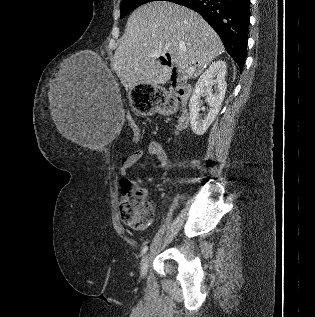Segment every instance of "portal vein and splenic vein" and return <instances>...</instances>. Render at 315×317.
Here are the masks:
<instances>
[{"label":"portal vein and splenic vein","mask_w":315,"mask_h":317,"mask_svg":"<svg viewBox=\"0 0 315 317\" xmlns=\"http://www.w3.org/2000/svg\"><path fill=\"white\" fill-rule=\"evenodd\" d=\"M154 55L156 56L157 53H155ZM194 71H195L194 68H189V69H187L186 73H187V74H192V73H194Z\"/></svg>","instance_id":"portal-vein-and-splenic-vein-1"}]
</instances>
